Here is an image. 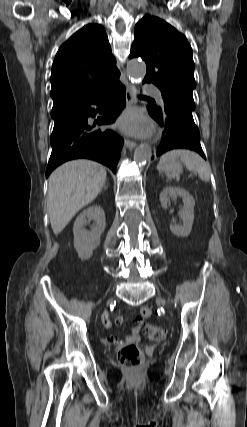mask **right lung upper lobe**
I'll return each mask as SVG.
<instances>
[{"label": "right lung upper lobe", "instance_id": "cb5924a9", "mask_svg": "<svg viewBox=\"0 0 247 427\" xmlns=\"http://www.w3.org/2000/svg\"><path fill=\"white\" fill-rule=\"evenodd\" d=\"M119 77L104 28L88 24L56 54L51 73L53 107L93 98L119 81Z\"/></svg>", "mask_w": 247, "mask_h": 427}]
</instances>
